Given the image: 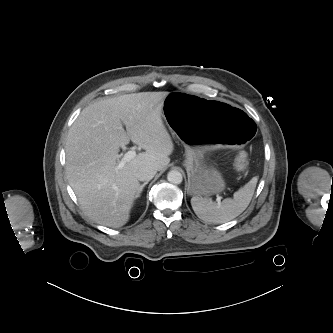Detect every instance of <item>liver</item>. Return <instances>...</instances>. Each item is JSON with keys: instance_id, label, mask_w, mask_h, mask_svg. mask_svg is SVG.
<instances>
[{"instance_id": "6515ba94", "label": "liver", "mask_w": 333, "mask_h": 333, "mask_svg": "<svg viewBox=\"0 0 333 333\" xmlns=\"http://www.w3.org/2000/svg\"><path fill=\"white\" fill-rule=\"evenodd\" d=\"M168 94L140 92L101 99L83 109L69 129L67 178L82 209L97 223L125 225L141 186L137 170H162L169 164L174 144L161 117ZM130 140L145 152L119 168V149Z\"/></svg>"}]
</instances>
